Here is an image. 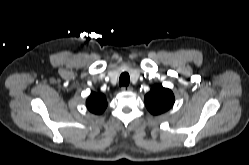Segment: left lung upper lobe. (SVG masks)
<instances>
[{
    "mask_svg": "<svg viewBox=\"0 0 249 165\" xmlns=\"http://www.w3.org/2000/svg\"><path fill=\"white\" fill-rule=\"evenodd\" d=\"M173 92L159 85H154L145 95V105L150 113L161 114L169 110L174 104Z\"/></svg>",
    "mask_w": 249,
    "mask_h": 165,
    "instance_id": "5c2ea615",
    "label": "left lung upper lobe"
}]
</instances>
